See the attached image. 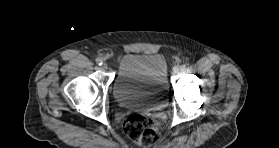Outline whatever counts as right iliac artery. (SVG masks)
<instances>
[{
  "mask_svg": "<svg viewBox=\"0 0 279 148\" xmlns=\"http://www.w3.org/2000/svg\"><path fill=\"white\" fill-rule=\"evenodd\" d=\"M96 63L101 66L103 64V61L100 58H98L96 59Z\"/></svg>",
  "mask_w": 279,
  "mask_h": 148,
  "instance_id": "obj_1",
  "label": "right iliac artery"
}]
</instances>
